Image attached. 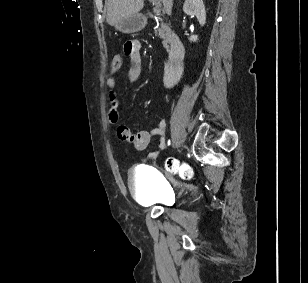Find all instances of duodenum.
Wrapping results in <instances>:
<instances>
[{"mask_svg": "<svg viewBox=\"0 0 308 283\" xmlns=\"http://www.w3.org/2000/svg\"><path fill=\"white\" fill-rule=\"evenodd\" d=\"M150 17H153L154 14L151 12L149 13ZM185 47L182 40L179 38L178 35H173L170 40V62L172 68L174 70L180 69V61L184 56Z\"/></svg>", "mask_w": 308, "mask_h": 283, "instance_id": "duodenum-1", "label": "duodenum"}]
</instances>
